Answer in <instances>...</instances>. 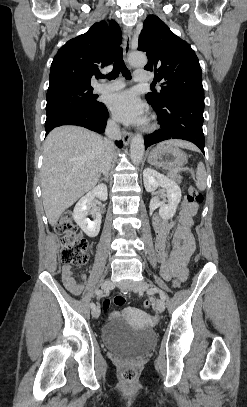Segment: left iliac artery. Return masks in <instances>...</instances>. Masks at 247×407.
Here are the masks:
<instances>
[{
  "mask_svg": "<svg viewBox=\"0 0 247 407\" xmlns=\"http://www.w3.org/2000/svg\"><path fill=\"white\" fill-rule=\"evenodd\" d=\"M152 292H158L159 295H160V298H161L162 300H165V299H166V295H165V293H164L162 290H160V289H158V288H152V289H150V290L148 291V293H152Z\"/></svg>",
  "mask_w": 247,
  "mask_h": 407,
  "instance_id": "44dca946",
  "label": "left iliac artery"
}]
</instances>
